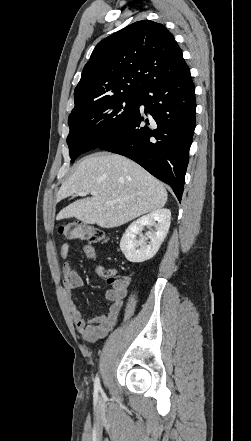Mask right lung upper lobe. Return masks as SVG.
Segmentation results:
<instances>
[{"instance_id":"right-lung-upper-lobe-1","label":"right lung upper lobe","mask_w":251,"mask_h":441,"mask_svg":"<svg viewBox=\"0 0 251 441\" xmlns=\"http://www.w3.org/2000/svg\"><path fill=\"white\" fill-rule=\"evenodd\" d=\"M185 66L181 49L164 25L135 22L97 44L75 88L71 113L95 100L141 95Z\"/></svg>"}]
</instances>
